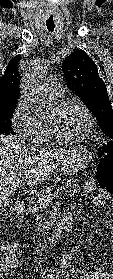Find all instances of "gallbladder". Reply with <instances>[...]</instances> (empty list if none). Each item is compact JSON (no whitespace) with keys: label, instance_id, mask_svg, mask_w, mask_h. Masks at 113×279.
Masks as SVG:
<instances>
[{"label":"gallbladder","instance_id":"gallbladder-1","mask_svg":"<svg viewBox=\"0 0 113 279\" xmlns=\"http://www.w3.org/2000/svg\"><path fill=\"white\" fill-rule=\"evenodd\" d=\"M3 210V206H1V208H0V212Z\"/></svg>","mask_w":113,"mask_h":279}]
</instances>
